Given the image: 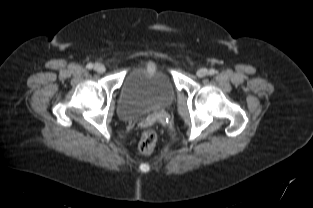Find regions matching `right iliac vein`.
Wrapping results in <instances>:
<instances>
[{"mask_svg": "<svg viewBox=\"0 0 313 208\" xmlns=\"http://www.w3.org/2000/svg\"><path fill=\"white\" fill-rule=\"evenodd\" d=\"M94 70L96 71V72H98V73H103V72H105V66L103 65V64H101V63H96L95 65H94Z\"/></svg>", "mask_w": 313, "mask_h": 208, "instance_id": "right-iliac-vein-1", "label": "right iliac vein"}]
</instances>
